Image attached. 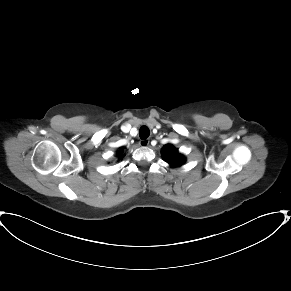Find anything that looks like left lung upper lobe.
Segmentation results:
<instances>
[{
    "label": "left lung upper lobe",
    "instance_id": "5c2ea615",
    "mask_svg": "<svg viewBox=\"0 0 291 291\" xmlns=\"http://www.w3.org/2000/svg\"><path fill=\"white\" fill-rule=\"evenodd\" d=\"M163 158L171 166H180L185 162L183 155L178 153V150L172 145H165L162 150Z\"/></svg>",
    "mask_w": 291,
    "mask_h": 291
}]
</instances>
